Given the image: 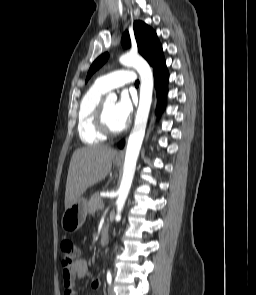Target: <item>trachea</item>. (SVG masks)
Instances as JSON below:
<instances>
[{"label":"trachea","mask_w":256,"mask_h":295,"mask_svg":"<svg viewBox=\"0 0 256 295\" xmlns=\"http://www.w3.org/2000/svg\"><path fill=\"white\" fill-rule=\"evenodd\" d=\"M135 85L139 86V81L138 80H136Z\"/></svg>","instance_id":"trachea-1"}]
</instances>
